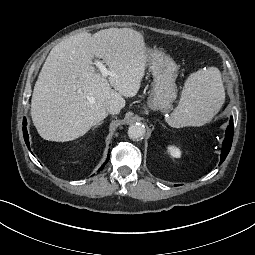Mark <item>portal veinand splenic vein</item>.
I'll use <instances>...</instances> for the list:
<instances>
[{
    "instance_id": "portal-vein-and-splenic-vein-1",
    "label": "portal vein and splenic vein",
    "mask_w": 255,
    "mask_h": 255,
    "mask_svg": "<svg viewBox=\"0 0 255 255\" xmlns=\"http://www.w3.org/2000/svg\"><path fill=\"white\" fill-rule=\"evenodd\" d=\"M95 65L99 68L100 72H101V75L103 77H107V76H110V75H113V72L109 71L106 66L103 64L102 61H96L95 62Z\"/></svg>"
}]
</instances>
